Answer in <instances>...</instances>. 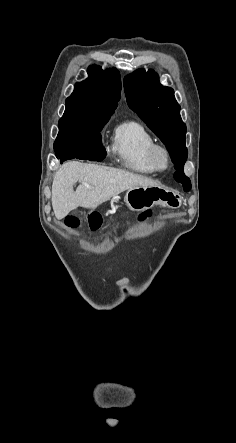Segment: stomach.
<instances>
[{"label": "stomach", "mask_w": 236, "mask_h": 443, "mask_svg": "<svg viewBox=\"0 0 236 443\" xmlns=\"http://www.w3.org/2000/svg\"><path fill=\"white\" fill-rule=\"evenodd\" d=\"M125 203L131 210L143 211L157 204L178 208L181 205V199L158 185L129 189L125 195Z\"/></svg>", "instance_id": "1"}]
</instances>
